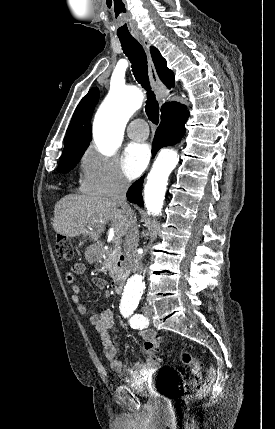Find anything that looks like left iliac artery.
I'll list each match as a JSON object with an SVG mask.
<instances>
[{
  "label": "left iliac artery",
  "mask_w": 275,
  "mask_h": 429,
  "mask_svg": "<svg viewBox=\"0 0 275 429\" xmlns=\"http://www.w3.org/2000/svg\"><path fill=\"white\" fill-rule=\"evenodd\" d=\"M136 307H122L121 313L124 317H129L133 314ZM129 323L134 329H142L148 325V320L142 314H135L129 319Z\"/></svg>",
  "instance_id": "44dca946"
}]
</instances>
